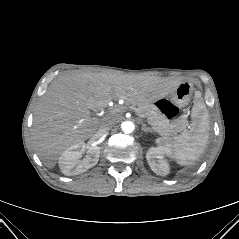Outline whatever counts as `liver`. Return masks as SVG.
Segmentation results:
<instances>
[{"label":"liver","instance_id":"obj_1","mask_svg":"<svg viewBox=\"0 0 239 239\" xmlns=\"http://www.w3.org/2000/svg\"><path fill=\"white\" fill-rule=\"evenodd\" d=\"M179 81L142 75L68 72L58 76L37 105L33 119V144L43 164L52 169L62 153L94 135L109 114L100 119L90 110L107 107L113 100L128 105L154 102L173 90Z\"/></svg>","mask_w":239,"mask_h":239}]
</instances>
